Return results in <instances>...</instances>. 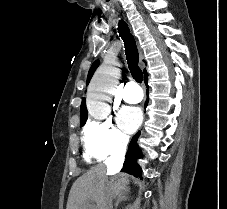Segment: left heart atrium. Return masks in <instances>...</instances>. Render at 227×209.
<instances>
[{"instance_id": "1", "label": "left heart atrium", "mask_w": 227, "mask_h": 209, "mask_svg": "<svg viewBox=\"0 0 227 209\" xmlns=\"http://www.w3.org/2000/svg\"><path fill=\"white\" fill-rule=\"evenodd\" d=\"M117 121L121 129L131 134L140 124L141 110L137 106L124 105L117 114Z\"/></svg>"}]
</instances>
